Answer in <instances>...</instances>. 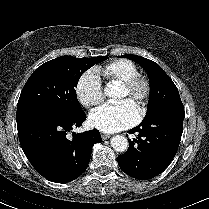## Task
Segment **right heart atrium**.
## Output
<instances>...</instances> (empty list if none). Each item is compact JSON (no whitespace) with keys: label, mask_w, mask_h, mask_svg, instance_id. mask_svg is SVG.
<instances>
[{"label":"right heart atrium","mask_w":209,"mask_h":209,"mask_svg":"<svg viewBox=\"0 0 209 209\" xmlns=\"http://www.w3.org/2000/svg\"><path fill=\"white\" fill-rule=\"evenodd\" d=\"M75 91L79 102L87 108H93L103 100L102 82L93 70H88L81 75Z\"/></svg>","instance_id":"obj_1"}]
</instances>
